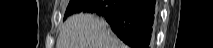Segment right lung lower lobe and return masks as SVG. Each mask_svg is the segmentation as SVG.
<instances>
[{"label": "right lung lower lobe", "mask_w": 213, "mask_h": 48, "mask_svg": "<svg viewBox=\"0 0 213 48\" xmlns=\"http://www.w3.org/2000/svg\"><path fill=\"white\" fill-rule=\"evenodd\" d=\"M156 0H88L81 12L104 18L113 32L132 48H148Z\"/></svg>", "instance_id": "98d812e1"}]
</instances>
